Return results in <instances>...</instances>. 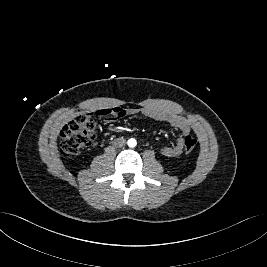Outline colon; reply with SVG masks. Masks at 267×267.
<instances>
[{
    "mask_svg": "<svg viewBox=\"0 0 267 267\" xmlns=\"http://www.w3.org/2000/svg\"><path fill=\"white\" fill-rule=\"evenodd\" d=\"M99 116V114L81 115L62 128L60 132V151L64 156L77 155L93 141L97 130L96 118ZM196 145V138L190 135L184 137L186 152H192Z\"/></svg>",
    "mask_w": 267,
    "mask_h": 267,
    "instance_id": "5ec220e1",
    "label": "colon"
}]
</instances>
